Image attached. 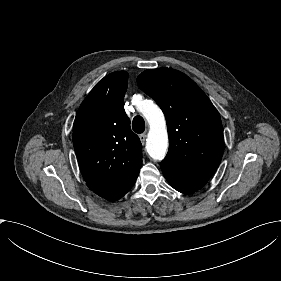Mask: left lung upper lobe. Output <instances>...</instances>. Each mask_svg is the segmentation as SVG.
Listing matches in <instances>:
<instances>
[{
    "instance_id": "obj_1",
    "label": "left lung upper lobe",
    "mask_w": 281,
    "mask_h": 281,
    "mask_svg": "<svg viewBox=\"0 0 281 281\" xmlns=\"http://www.w3.org/2000/svg\"><path fill=\"white\" fill-rule=\"evenodd\" d=\"M137 83L165 114L170 143L165 160L189 168L216 169L224 151L222 123L197 84L171 68L146 70Z\"/></svg>"
}]
</instances>
